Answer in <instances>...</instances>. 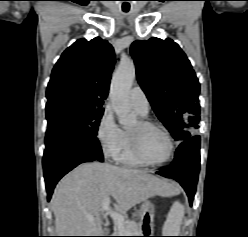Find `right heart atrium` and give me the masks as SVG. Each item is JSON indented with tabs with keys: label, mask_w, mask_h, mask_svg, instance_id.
Masks as SVG:
<instances>
[{
	"label": "right heart atrium",
	"mask_w": 248,
	"mask_h": 237,
	"mask_svg": "<svg viewBox=\"0 0 248 237\" xmlns=\"http://www.w3.org/2000/svg\"><path fill=\"white\" fill-rule=\"evenodd\" d=\"M96 138L103 155L108 159L115 158L121 149L123 133L110 107H106L99 118Z\"/></svg>",
	"instance_id": "d8ad5b80"
}]
</instances>
